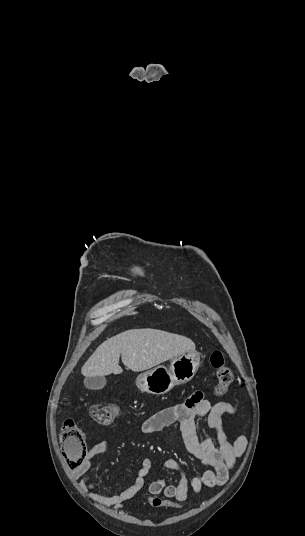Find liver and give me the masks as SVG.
<instances>
[{
	"mask_svg": "<svg viewBox=\"0 0 305 536\" xmlns=\"http://www.w3.org/2000/svg\"><path fill=\"white\" fill-rule=\"evenodd\" d=\"M192 350H195V344L185 336L151 328L127 330L98 346L82 366L81 374L86 378L122 374L120 356L128 370L143 372Z\"/></svg>",
	"mask_w": 305,
	"mask_h": 536,
	"instance_id": "1",
	"label": "liver"
}]
</instances>
